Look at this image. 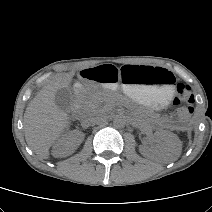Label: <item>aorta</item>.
<instances>
[{
    "label": "aorta",
    "instance_id": "762f6f07",
    "mask_svg": "<svg viewBox=\"0 0 212 212\" xmlns=\"http://www.w3.org/2000/svg\"><path fill=\"white\" fill-rule=\"evenodd\" d=\"M113 125L116 128H123L126 125V119L122 115H116L113 119Z\"/></svg>",
    "mask_w": 212,
    "mask_h": 212
}]
</instances>
